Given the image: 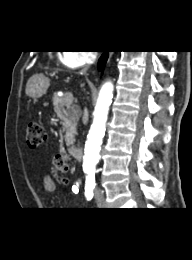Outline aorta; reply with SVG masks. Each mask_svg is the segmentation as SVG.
Here are the masks:
<instances>
[{
  "label": "aorta",
  "mask_w": 192,
  "mask_h": 260,
  "mask_svg": "<svg viewBox=\"0 0 192 260\" xmlns=\"http://www.w3.org/2000/svg\"><path fill=\"white\" fill-rule=\"evenodd\" d=\"M114 86L111 81L105 82L99 92L93 123L87 135L83 156V171L86 174V183L95 181V169L100 159V149L105 135L109 108L113 98Z\"/></svg>",
  "instance_id": "obj_1"
}]
</instances>
